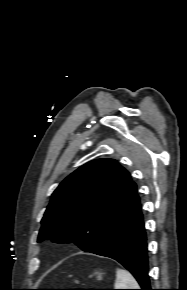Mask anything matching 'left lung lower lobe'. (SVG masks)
Here are the masks:
<instances>
[{
    "label": "left lung lower lobe",
    "mask_w": 187,
    "mask_h": 290,
    "mask_svg": "<svg viewBox=\"0 0 187 290\" xmlns=\"http://www.w3.org/2000/svg\"><path fill=\"white\" fill-rule=\"evenodd\" d=\"M146 240L141 203L137 195L126 213L91 253L118 261L136 278L141 290H152Z\"/></svg>",
    "instance_id": "1"
}]
</instances>
